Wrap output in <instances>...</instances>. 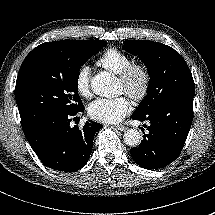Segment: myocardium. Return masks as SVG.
Returning <instances> with one entry per match:
<instances>
[{"instance_id":"myocardium-1","label":"myocardium","mask_w":215,"mask_h":215,"mask_svg":"<svg viewBox=\"0 0 215 215\" xmlns=\"http://www.w3.org/2000/svg\"><path fill=\"white\" fill-rule=\"evenodd\" d=\"M140 78L138 88L133 86V81L136 76ZM118 79L124 84V92L130 96L135 102H142L149 95L152 75L149 67L140 61L129 63L119 74Z\"/></svg>"}]
</instances>
